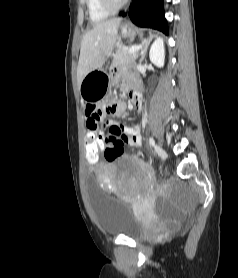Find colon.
<instances>
[{"mask_svg":"<svg viewBox=\"0 0 238 278\" xmlns=\"http://www.w3.org/2000/svg\"><path fill=\"white\" fill-rule=\"evenodd\" d=\"M84 149L85 162H98L101 156H105L107 161H113L123 153V144L121 142L106 144L105 137H98L94 130H87Z\"/></svg>","mask_w":238,"mask_h":278,"instance_id":"1","label":"colon"}]
</instances>
